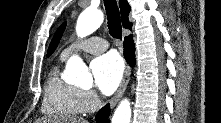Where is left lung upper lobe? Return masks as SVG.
Listing matches in <instances>:
<instances>
[{
	"instance_id": "1",
	"label": "left lung upper lobe",
	"mask_w": 221,
	"mask_h": 123,
	"mask_svg": "<svg viewBox=\"0 0 221 123\" xmlns=\"http://www.w3.org/2000/svg\"><path fill=\"white\" fill-rule=\"evenodd\" d=\"M65 26H66L65 23L62 24L58 28V30L56 31V33H55V35H54V37H53V39H52V41L50 43L47 56L51 55L55 51V49H56V47H57V45H58V43H59V41L61 39V36H62V34L64 32Z\"/></svg>"
}]
</instances>
